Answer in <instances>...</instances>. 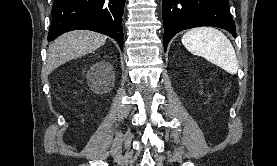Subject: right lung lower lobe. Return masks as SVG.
<instances>
[{"mask_svg": "<svg viewBox=\"0 0 277 166\" xmlns=\"http://www.w3.org/2000/svg\"><path fill=\"white\" fill-rule=\"evenodd\" d=\"M125 0H55L48 41L64 32L86 29L114 38L123 48Z\"/></svg>", "mask_w": 277, "mask_h": 166, "instance_id": "98d812e1", "label": "right lung lower lobe"}]
</instances>
